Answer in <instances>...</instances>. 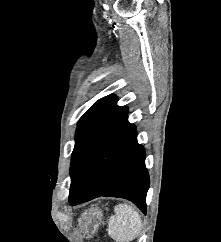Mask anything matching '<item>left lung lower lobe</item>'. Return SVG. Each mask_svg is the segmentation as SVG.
Listing matches in <instances>:
<instances>
[{
  "instance_id": "obj_1",
  "label": "left lung lower lobe",
  "mask_w": 221,
  "mask_h": 242,
  "mask_svg": "<svg viewBox=\"0 0 221 242\" xmlns=\"http://www.w3.org/2000/svg\"><path fill=\"white\" fill-rule=\"evenodd\" d=\"M148 187L145 151L137 143L135 126L126 116L82 161L71 180L69 202L77 205L100 196L121 197L146 213Z\"/></svg>"
}]
</instances>
